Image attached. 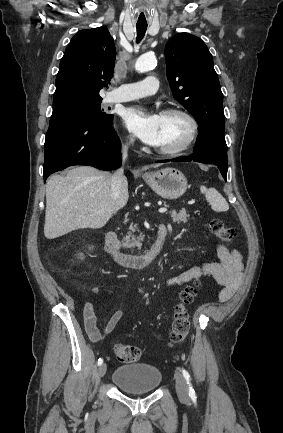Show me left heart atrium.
<instances>
[{"instance_id": "obj_1", "label": "left heart atrium", "mask_w": 283, "mask_h": 433, "mask_svg": "<svg viewBox=\"0 0 283 433\" xmlns=\"http://www.w3.org/2000/svg\"><path fill=\"white\" fill-rule=\"evenodd\" d=\"M126 127L151 150H159L163 141L161 114H152L142 106L127 108L123 113Z\"/></svg>"}]
</instances>
